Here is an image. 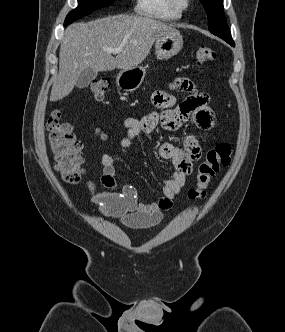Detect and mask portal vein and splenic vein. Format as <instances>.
Wrapping results in <instances>:
<instances>
[{
  "label": "portal vein and splenic vein",
  "instance_id": "18ae733b",
  "mask_svg": "<svg viewBox=\"0 0 285 332\" xmlns=\"http://www.w3.org/2000/svg\"><path fill=\"white\" fill-rule=\"evenodd\" d=\"M105 51L112 53V54H118L120 52H122V47H118V48H104Z\"/></svg>",
  "mask_w": 285,
  "mask_h": 332
}]
</instances>
